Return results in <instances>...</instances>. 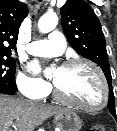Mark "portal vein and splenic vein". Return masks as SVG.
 I'll return each instance as SVG.
<instances>
[{
	"mask_svg": "<svg viewBox=\"0 0 117 131\" xmlns=\"http://www.w3.org/2000/svg\"><path fill=\"white\" fill-rule=\"evenodd\" d=\"M12 123H13V122H10V123L5 127L4 130H7V128H8Z\"/></svg>",
	"mask_w": 117,
	"mask_h": 131,
	"instance_id": "portal-vein-and-splenic-vein-1",
	"label": "portal vein and splenic vein"
}]
</instances>
